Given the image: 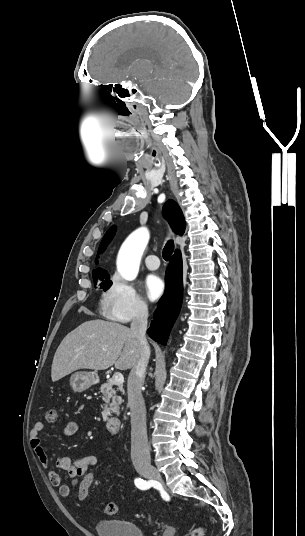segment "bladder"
I'll use <instances>...</instances> for the list:
<instances>
[{
  "instance_id": "1",
  "label": "bladder",
  "mask_w": 305,
  "mask_h": 536,
  "mask_svg": "<svg viewBox=\"0 0 305 536\" xmlns=\"http://www.w3.org/2000/svg\"><path fill=\"white\" fill-rule=\"evenodd\" d=\"M94 531L97 536H151L137 523L122 518L97 519Z\"/></svg>"
}]
</instances>
